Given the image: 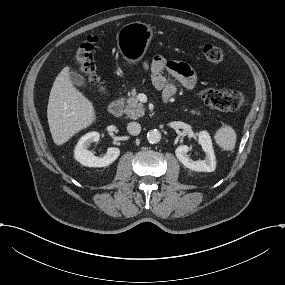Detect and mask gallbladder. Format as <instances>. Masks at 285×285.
Segmentation results:
<instances>
[{
    "mask_svg": "<svg viewBox=\"0 0 285 285\" xmlns=\"http://www.w3.org/2000/svg\"><path fill=\"white\" fill-rule=\"evenodd\" d=\"M70 79L73 84L79 88H82L84 90L89 88L87 79L78 71H71Z\"/></svg>",
    "mask_w": 285,
    "mask_h": 285,
    "instance_id": "obj_1",
    "label": "gallbladder"
}]
</instances>
